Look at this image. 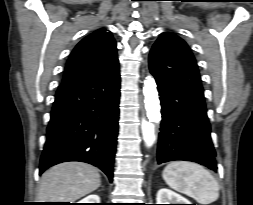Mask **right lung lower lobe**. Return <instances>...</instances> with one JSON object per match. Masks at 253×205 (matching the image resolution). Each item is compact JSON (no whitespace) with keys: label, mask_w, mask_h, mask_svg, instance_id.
<instances>
[{"label":"right lung lower lobe","mask_w":253,"mask_h":205,"mask_svg":"<svg viewBox=\"0 0 253 205\" xmlns=\"http://www.w3.org/2000/svg\"><path fill=\"white\" fill-rule=\"evenodd\" d=\"M120 74L106 70L62 83L55 96L40 174L55 164L82 161L113 180L119 119Z\"/></svg>","instance_id":"1"}]
</instances>
